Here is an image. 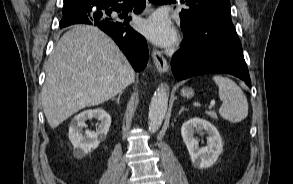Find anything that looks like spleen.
<instances>
[{
  "instance_id": "obj_1",
  "label": "spleen",
  "mask_w": 293,
  "mask_h": 184,
  "mask_svg": "<svg viewBox=\"0 0 293 184\" xmlns=\"http://www.w3.org/2000/svg\"><path fill=\"white\" fill-rule=\"evenodd\" d=\"M213 80L218 85L222 101L219 109L221 117L232 123L244 120L248 115V101L242 89L228 77L215 75Z\"/></svg>"
}]
</instances>
